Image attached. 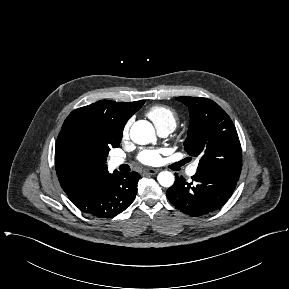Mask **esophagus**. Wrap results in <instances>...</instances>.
I'll return each mask as SVG.
<instances>
[{"instance_id": "esophagus-1", "label": "esophagus", "mask_w": 289, "mask_h": 289, "mask_svg": "<svg viewBox=\"0 0 289 289\" xmlns=\"http://www.w3.org/2000/svg\"><path fill=\"white\" fill-rule=\"evenodd\" d=\"M159 172V169H153V168H150V169H147L144 171L145 174H148V175H155Z\"/></svg>"}]
</instances>
